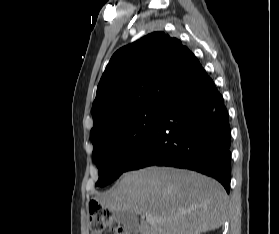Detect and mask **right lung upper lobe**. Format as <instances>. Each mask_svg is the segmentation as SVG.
<instances>
[{
    "mask_svg": "<svg viewBox=\"0 0 279 234\" xmlns=\"http://www.w3.org/2000/svg\"><path fill=\"white\" fill-rule=\"evenodd\" d=\"M203 69L180 40L153 32L114 53L92 105L91 140L114 119L150 107H165Z\"/></svg>",
    "mask_w": 279,
    "mask_h": 234,
    "instance_id": "cb5924a9",
    "label": "right lung upper lobe"
}]
</instances>
